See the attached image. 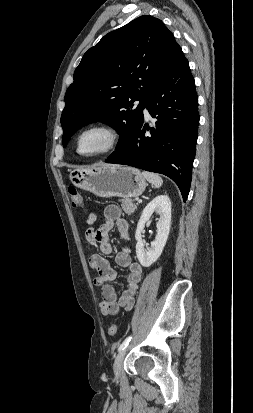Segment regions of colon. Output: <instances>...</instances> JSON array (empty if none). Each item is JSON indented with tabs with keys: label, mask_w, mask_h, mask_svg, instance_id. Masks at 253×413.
I'll return each instance as SVG.
<instances>
[{
	"label": "colon",
	"mask_w": 253,
	"mask_h": 413,
	"mask_svg": "<svg viewBox=\"0 0 253 413\" xmlns=\"http://www.w3.org/2000/svg\"><path fill=\"white\" fill-rule=\"evenodd\" d=\"M68 195L71 200V204L73 207H81L83 205V198L74 186L68 187ZM117 333V326L115 324H111L108 328V334L110 336H114Z\"/></svg>",
	"instance_id": "5ec220e1"
}]
</instances>
